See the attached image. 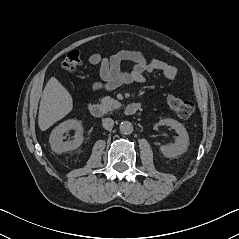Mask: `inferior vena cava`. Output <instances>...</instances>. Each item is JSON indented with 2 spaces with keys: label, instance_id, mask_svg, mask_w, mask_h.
Instances as JSON below:
<instances>
[{
  "label": "inferior vena cava",
  "instance_id": "602c4592",
  "mask_svg": "<svg viewBox=\"0 0 239 239\" xmlns=\"http://www.w3.org/2000/svg\"><path fill=\"white\" fill-rule=\"evenodd\" d=\"M102 126L106 130H111L114 126V121L111 118H104L102 120Z\"/></svg>",
  "mask_w": 239,
  "mask_h": 239
}]
</instances>
